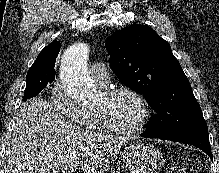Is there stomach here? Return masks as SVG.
<instances>
[{
	"instance_id": "obj_1",
	"label": "stomach",
	"mask_w": 219,
	"mask_h": 173,
	"mask_svg": "<svg viewBox=\"0 0 219 173\" xmlns=\"http://www.w3.org/2000/svg\"><path fill=\"white\" fill-rule=\"evenodd\" d=\"M122 158L130 173H154L164 160L157 148L145 142H133L126 146Z\"/></svg>"
}]
</instances>
